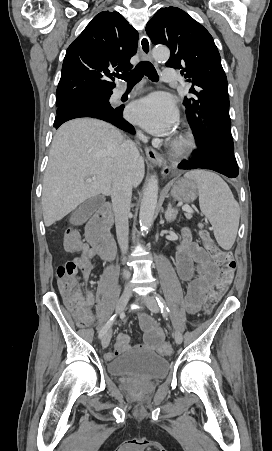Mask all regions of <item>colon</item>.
<instances>
[{
  "instance_id": "obj_1",
  "label": "colon",
  "mask_w": 272,
  "mask_h": 451,
  "mask_svg": "<svg viewBox=\"0 0 272 451\" xmlns=\"http://www.w3.org/2000/svg\"><path fill=\"white\" fill-rule=\"evenodd\" d=\"M199 236L204 240V244L208 247L211 255L224 263L223 268L217 272L214 285L207 295L206 310L210 312L232 283L236 261L233 252L218 249L213 244L208 230H201ZM62 241V247L64 249H70V254H74V249L81 247V238L77 230H64ZM77 266L81 267L83 271H91L93 269V264L91 262H85L83 258H78L76 262L73 260L65 261L56 269L59 288L61 289V296L65 297L66 303H71V310H88V303H91L92 298L91 294H88L87 288H79V281L75 274ZM78 324L85 326L86 321H79ZM158 352L159 354H172L173 347L170 342H161L158 347Z\"/></svg>"
}]
</instances>
